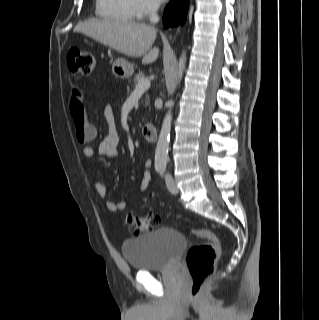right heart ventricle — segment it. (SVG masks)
<instances>
[{
  "label": "right heart ventricle",
  "mask_w": 319,
  "mask_h": 320,
  "mask_svg": "<svg viewBox=\"0 0 319 320\" xmlns=\"http://www.w3.org/2000/svg\"><path fill=\"white\" fill-rule=\"evenodd\" d=\"M96 14L119 22H130L134 18L129 0H96Z\"/></svg>",
  "instance_id": "e07e8e85"
}]
</instances>
